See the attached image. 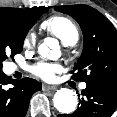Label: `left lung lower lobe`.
I'll use <instances>...</instances> for the list:
<instances>
[{
  "label": "left lung lower lobe",
  "instance_id": "1",
  "mask_svg": "<svg viewBox=\"0 0 117 117\" xmlns=\"http://www.w3.org/2000/svg\"><path fill=\"white\" fill-rule=\"evenodd\" d=\"M80 107L73 114L58 117H110L117 107V81L97 80L86 83Z\"/></svg>",
  "mask_w": 117,
  "mask_h": 117
}]
</instances>
